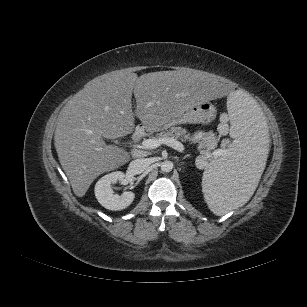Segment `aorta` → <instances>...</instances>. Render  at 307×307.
<instances>
[{"instance_id":"obj_1","label":"aorta","mask_w":307,"mask_h":307,"mask_svg":"<svg viewBox=\"0 0 307 307\" xmlns=\"http://www.w3.org/2000/svg\"><path fill=\"white\" fill-rule=\"evenodd\" d=\"M160 168L163 172H171L173 169V163L169 160H165L160 164Z\"/></svg>"}]
</instances>
